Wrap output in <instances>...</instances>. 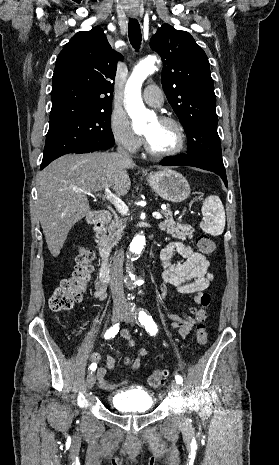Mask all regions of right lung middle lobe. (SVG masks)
Listing matches in <instances>:
<instances>
[{"label":"right lung middle lobe","instance_id":"1","mask_svg":"<svg viewBox=\"0 0 279 465\" xmlns=\"http://www.w3.org/2000/svg\"><path fill=\"white\" fill-rule=\"evenodd\" d=\"M111 107L93 110L50 124L42 164L84 146L114 145L110 124Z\"/></svg>","mask_w":279,"mask_h":465}]
</instances>
